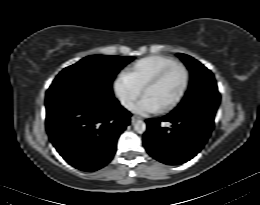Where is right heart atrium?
I'll use <instances>...</instances> for the list:
<instances>
[{
	"label": "right heart atrium",
	"mask_w": 260,
	"mask_h": 205,
	"mask_svg": "<svg viewBox=\"0 0 260 205\" xmlns=\"http://www.w3.org/2000/svg\"><path fill=\"white\" fill-rule=\"evenodd\" d=\"M113 90L121 104L126 108H130L141 95V89L136 87L123 75L114 81Z\"/></svg>",
	"instance_id": "1"
}]
</instances>
